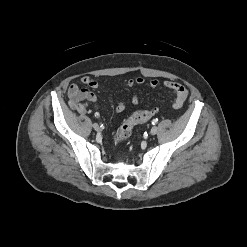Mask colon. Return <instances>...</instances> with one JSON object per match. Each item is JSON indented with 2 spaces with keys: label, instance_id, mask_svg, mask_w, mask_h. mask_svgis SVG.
Wrapping results in <instances>:
<instances>
[{
  "label": "colon",
  "instance_id": "obj_1",
  "mask_svg": "<svg viewBox=\"0 0 247 247\" xmlns=\"http://www.w3.org/2000/svg\"><path fill=\"white\" fill-rule=\"evenodd\" d=\"M154 114L155 111L153 110H139L133 113L122 124L119 132L116 135V142H121L127 139L132 134L133 129L137 124L149 120Z\"/></svg>",
  "mask_w": 247,
  "mask_h": 247
}]
</instances>
